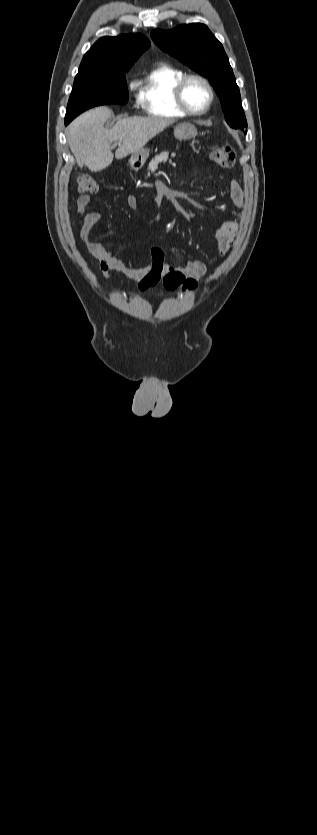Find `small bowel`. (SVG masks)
I'll return each mask as SVG.
<instances>
[{"instance_id":"c3829d8e","label":"small bowel","mask_w":317,"mask_h":835,"mask_svg":"<svg viewBox=\"0 0 317 835\" xmlns=\"http://www.w3.org/2000/svg\"><path fill=\"white\" fill-rule=\"evenodd\" d=\"M228 193L233 204L241 208L244 204V193L237 181L231 180L229 182ZM90 201L91 198L88 195L80 196L77 200L76 209L79 214H85L89 211L82 221L80 238L87 251L96 260V265L100 268L104 277L109 279L110 272L115 271L127 280L136 282L137 288L141 292H145L156 286L162 275L168 269L164 263L165 254L163 249L158 246L152 249L151 263L147 266L138 268L126 266L122 260L113 254L117 241L114 242L112 248H106L93 237L92 231L100 221L101 213L97 210H89ZM126 203L130 209H136L137 207V200L133 195L127 196ZM238 229V223L233 220H225L216 228L215 239L221 255H225L233 245ZM179 270L188 278L200 280L205 275L206 265L200 259H192L186 261Z\"/></svg>"}]
</instances>
